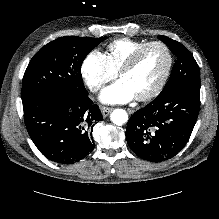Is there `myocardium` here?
<instances>
[{
	"instance_id": "1",
	"label": "myocardium",
	"mask_w": 219,
	"mask_h": 219,
	"mask_svg": "<svg viewBox=\"0 0 219 219\" xmlns=\"http://www.w3.org/2000/svg\"><path fill=\"white\" fill-rule=\"evenodd\" d=\"M152 46H160L162 47L166 54H167V66L166 69L164 71V74L162 75L161 79L158 81V83L147 93L136 96L135 98L138 101H147L150 100L152 98H154L155 96H157L162 89L165 87L172 68H173V63H174V59H173V54L171 49L169 48V46L167 44H165L164 42L161 41H150L147 42L145 45H143L141 48H139L137 51H135L125 62L124 64L121 66V68L118 70V76L121 77V75L129 70H131L135 64L138 62V60L140 59V57L142 56V54L150 47Z\"/></svg>"
}]
</instances>
